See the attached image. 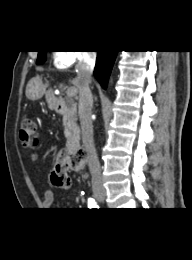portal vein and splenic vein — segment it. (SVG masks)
Instances as JSON below:
<instances>
[{
    "instance_id": "obj_1",
    "label": "portal vein and splenic vein",
    "mask_w": 192,
    "mask_h": 260,
    "mask_svg": "<svg viewBox=\"0 0 192 260\" xmlns=\"http://www.w3.org/2000/svg\"><path fill=\"white\" fill-rule=\"evenodd\" d=\"M66 93L68 97H74L77 94V89L74 87L69 88Z\"/></svg>"
}]
</instances>
